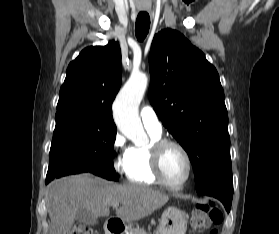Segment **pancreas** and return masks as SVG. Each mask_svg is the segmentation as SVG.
I'll return each instance as SVG.
<instances>
[{
  "label": "pancreas",
  "instance_id": "1",
  "mask_svg": "<svg viewBox=\"0 0 279 234\" xmlns=\"http://www.w3.org/2000/svg\"><path fill=\"white\" fill-rule=\"evenodd\" d=\"M128 234H148V233L145 232L144 229L135 228V229H131Z\"/></svg>",
  "mask_w": 279,
  "mask_h": 234
}]
</instances>
